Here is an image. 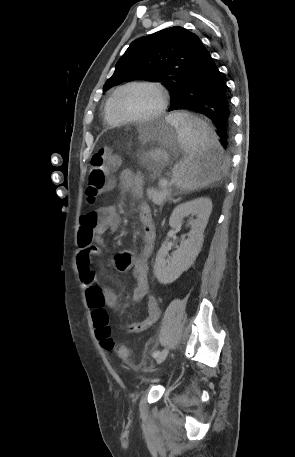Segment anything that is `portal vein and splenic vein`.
Segmentation results:
<instances>
[{
  "label": "portal vein and splenic vein",
  "mask_w": 295,
  "mask_h": 457,
  "mask_svg": "<svg viewBox=\"0 0 295 457\" xmlns=\"http://www.w3.org/2000/svg\"><path fill=\"white\" fill-rule=\"evenodd\" d=\"M159 184L162 185V186H166V185H167V180L161 179V180L159 181Z\"/></svg>",
  "instance_id": "18ae733b"
}]
</instances>
